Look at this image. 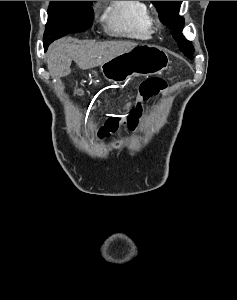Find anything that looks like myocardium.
I'll return each instance as SVG.
<instances>
[{
  "instance_id": "f54148a6",
  "label": "myocardium",
  "mask_w": 237,
  "mask_h": 300,
  "mask_svg": "<svg viewBox=\"0 0 237 300\" xmlns=\"http://www.w3.org/2000/svg\"><path fill=\"white\" fill-rule=\"evenodd\" d=\"M151 22L155 23L156 25H160V19L158 17L153 18Z\"/></svg>"
}]
</instances>
